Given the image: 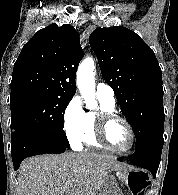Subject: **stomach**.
<instances>
[{
  "instance_id": "obj_1",
  "label": "stomach",
  "mask_w": 178,
  "mask_h": 195,
  "mask_svg": "<svg viewBox=\"0 0 178 195\" xmlns=\"http://www.w3.org/2000/svg\"><path fill=\"white\" fill-rule=\"evenodd\" d=\"M129 171L113 170L106 176L98 195H127Z\"/></svg>"
}]
</instances>
